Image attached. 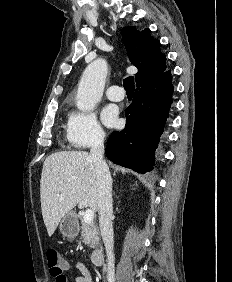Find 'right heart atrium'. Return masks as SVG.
<instances>
[{"instance_id":"1","label":"right heart atrium","mask_w":232,"mask_h":282,"mask_svg":"<svg viewBox=\"0 0 232 282\" xmlns=\"http://www.w3.org/2000/svg\"><path fill=\"white\" fill-rule=\"evenodd\" d=\"M105 132L96 114L91 111H74L67 125V138L75 148L84 149L97 145L104 140Z\"/></svg>"}]
</instances>
